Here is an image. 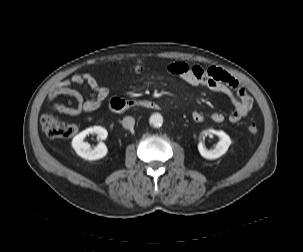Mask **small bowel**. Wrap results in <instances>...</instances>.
Returning a JSON list of instances; mask_svg holds the SVG:
<instances>
[{"mask_svg": "<svg viewBox=\"0 0 303 252\" xmlns=\"http://www.w3.org/2000/svg\"><path fill=\"white\" fill-rule=\"evenodd\" d=\"M167 70L189 85L204 87L211 91L229 95L235 106L234 111L229 115V120L232 123L238 122L252 108L253 101L248 90L226 72L206 69L184 62L169 63ZM72 84L86 86L91 91V96L88 99H84L81 93L71 89ZM58 93L67 94L77 100L78 105L76 108L64 105L55 106V109L60 113L72 117L78 116L82 112H90L103 107L110 94L109 89L105 85L99 83L95 77L88 73L75 74L68 79L58 82L51 91L50 96L53 97ZM118 99L113 98L110 101V105L113 106ZM191 116L193 121L197 123L205 120V114L201 111H193ZM210 118L215 123H221L224 121L225 116L220 112H213Z\"/></svg>", "mask_w": 303, "mask_h": 252, "instance_id": "1", "label": "small bowel"}]
</instances>
